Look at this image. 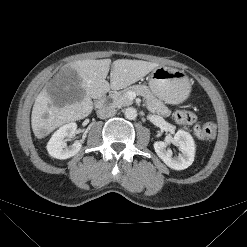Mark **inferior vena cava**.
I'll list each match as a JSON object with an SVG mask.
<instances>
[{
	"label": "inferior vena cava",
	"mask_w": 247,
	"mask_h": 247,
	"mask_svg": "<svg viewBox=\"0 0 247 247\" xmlns=\"http://www.w3.org/2000/svg\"><path fill=\"white\" fill-rule=\"evenodd\" d=\"M117 110L112 106H104L97 111V115L101 119L113 117Z\"/></svg>",
	"instance_id": "1"
}]
</instances>
